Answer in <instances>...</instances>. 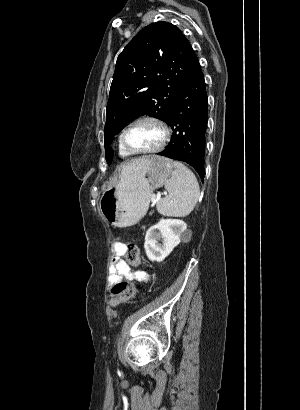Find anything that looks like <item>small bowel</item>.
<instances>
[{
	"label": "small bowel",
	"instance_id": "obj_1",
	"mask_svg": "<svg viewBox=\"0 0 300 410\" xmlns=\"http://www.w3.org/2000/svg\"><path fill=\"white\" fill-rule=\"evenodd\" d=\"M125 244L117 242L113 245V254L109 268V282L127 280L131 283L147 282L150 278L146 270H132L130 265L122 259Z\"/></svg>",
	"mask_w": 300,
	"mask_h": 410
}]
</instances>
